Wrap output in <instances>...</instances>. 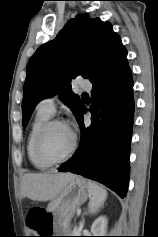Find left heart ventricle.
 Masks as SVG:
<instances>
[{"mask_svg":"<svg viewBox=\"0 0 158 237\" xmlns=\"http://www.w3.org/2000/svg\"><path fill=\"white\" fill-rule=\"evenodd\" d=\"M72 133L65 125H56L50 129L43 141L44 152L51 158H60L69 150Z\"/></svg>","mask_w":158,"mask_h":237,"instance_id":"b2bd125f","label":"left heart ventricle"}]
</instances>
